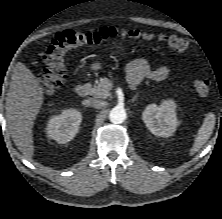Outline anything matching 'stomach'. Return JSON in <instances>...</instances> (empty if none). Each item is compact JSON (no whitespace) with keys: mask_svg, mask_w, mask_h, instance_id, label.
Returning <instances> with one entry per match:
<instances>
[{"mask_svg":"<svg viewBox=\"0 0 222 219\" xmlns=\"http://www.w3.org/2000/svg\"><path fill=\"white\" fill-rule=\"evenodd\" d=\"M92 70H99L101 68L100 63H93L91 66Z\"/></svg>","mask_w":222,"mask_h":219,"instance_id":"1","label":"stomach"}]
</instances>
